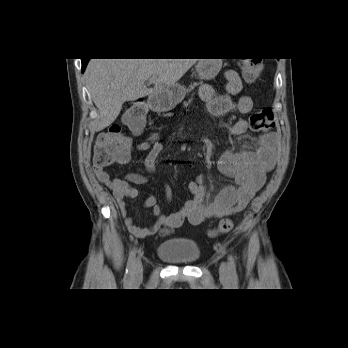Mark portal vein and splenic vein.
Wrapping results in <instances>:
<instances>
[{"mask_svg": "<svg viewBox=\"0 0 348 348\" xmlns=\"http://www.w3.org/2000/svg\"><path fill=\"white\" fill-rule=\"evenodd\" d=\"M155 81H156V79H155V78H150V79H149V84H154V83H155Z\"/></svg>", "mask_w": 348, "mask_h": 348, "instance_id": "1", "label": "portal vein and splenic vein"}]
</instances>
